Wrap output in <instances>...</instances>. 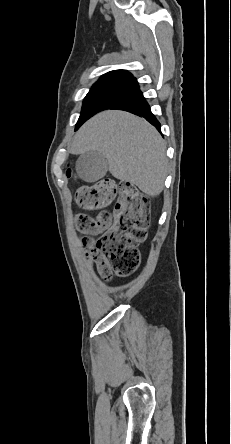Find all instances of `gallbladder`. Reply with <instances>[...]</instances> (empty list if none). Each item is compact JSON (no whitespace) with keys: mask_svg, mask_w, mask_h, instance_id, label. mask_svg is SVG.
Returning <instances> with one entry per match:
<instances>
[{"mask_svg":"<svg viewBox=\"0 0 231 444\" xmlns=\"http://www.w3.org/2000/svg\"><path fill=\"white\" fill-rule=\"evenodd\" d=\"M76 171L81 179L87 182H95L107 173L108 160L97 151L86 152L78 158Z\"/></svg>","mask_w":231,"mask_h":444,"instance_id":"bac80fb5","label":"gallbladder"}]
</instances>
